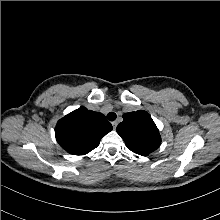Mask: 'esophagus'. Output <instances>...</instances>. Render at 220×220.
<instances>
[{"instance_id": "34e87169", "label": "esophagus", "mask_w": 220, "mask_h": 220, "mask_svg": "<svg viewBox=\"0 0 220 220\" xmlns=\"http://www.w3.org/2000/svg\"><path fill=\"white\" fill-rule=\"evenodd\" d=\"M117 125H118V121L112 122V126H113L114 129H116Z\"/></svg>"}]
</instances>
